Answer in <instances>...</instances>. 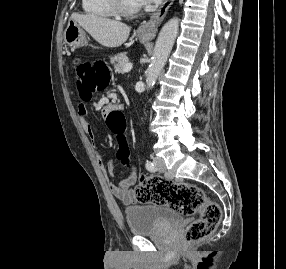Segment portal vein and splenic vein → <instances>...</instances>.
<instances>
[{"label":"portal vein and splenic vein","mask_w":286,"mask_h":269,"mask_svg":"<svg viewBox=\"0 0 286 269\" xmlns=\"http://www.w3.org/2000/svg\"><path fill=\"white\" fill-rule=\"evenodd\" d=\"M132 69V63H127L126 66L124 67L123 71L125 73L129 72Z\"/></svg>","instance_id":"portal-vein-and-splenic-vein-1"}]
</instances>
